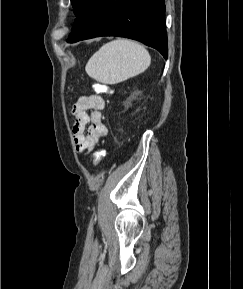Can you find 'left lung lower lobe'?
I'll return each mask as SVG.
<instances>
[{
    "instance_id": "1",
    "label": "left lung lower lobe",
    "mask_w": 243,
    "mask_h": 289,
    "mask_svg": "<svg viewBox=\"0 0 243 289\" xmlns=\"http://www.w3.org/2000/svg\"><path fill=\"white\" fill-rule=\"evenodd\" d=\"M98 36L140 41L168 56L164 0H89L67 42Z\"/></svg>"
}]
</instances>
